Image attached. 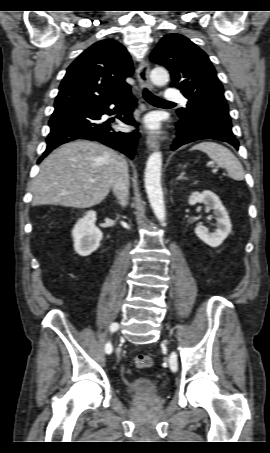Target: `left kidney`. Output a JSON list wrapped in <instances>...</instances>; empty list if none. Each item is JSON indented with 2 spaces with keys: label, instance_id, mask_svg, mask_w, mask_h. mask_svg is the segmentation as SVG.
Wrapping results in <instances>:
<instances>
[{
  "label": "left kidney",
  "instance_id": "1",
  "mask_svg": "<svg viewBox=\"0 0 270 453\" xmlns=\"http://www.w3.org/2000/svg\"><path fill=\"white\" fill-rule=\"evenodd\" d=\"M188 203L190 205L203 203L207 208L213 209V213L216 219V230L214 232H209L203 226H197L195 228V234L205 244L211 247L220 246L230 234L232 225L228 216V212L221 203L219 197L209 190H206L202 193L193 192L188 199Z\"/></svg>",
  "mask_w": 270,
  "mask_h": 453
}]
</instances>
